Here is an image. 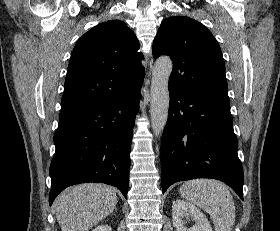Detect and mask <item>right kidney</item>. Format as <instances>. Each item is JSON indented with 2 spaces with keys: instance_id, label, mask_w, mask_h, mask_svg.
<instances>
[{
  "instance_id": "right-kidney-1",
  "label": "right kidney",
  "mask_w": 280,
  "mask_h": 231,
  "mask_svg": "<svg viewBox=\"0 0 280 231\" xmlns=\"http://www.w3.org/2000/svg\"><path fill=\"white\" fill-rule=\"evenodd\" d=\"M92 231H112L111 225H98V227H95V229H92Z\"/></svg>"
}]
</instances>
